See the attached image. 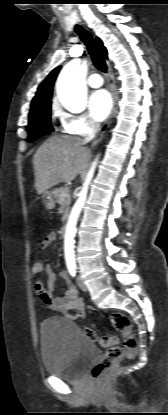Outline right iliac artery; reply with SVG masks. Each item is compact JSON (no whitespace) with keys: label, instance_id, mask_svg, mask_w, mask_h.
<instances>
[{"label":"right iliac artery","instance_id":"82829eb1","mask_svg":"<svg viewBox=\"0 0 168 415\" xmlns=\"http://www.w3.org/2000/svg\"><path fill=\"white\" fill-rule=\"evenodd\" d=\"M68 271H69V273H70V275H71L72 277H74V276H75V274H76L75 267H69V268H68Z\"/></svg>","mask_w":168,"mask_h":415}]
</instances>
